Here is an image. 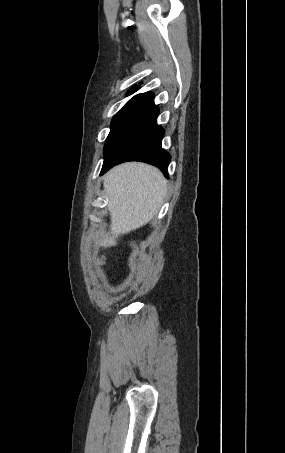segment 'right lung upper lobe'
Wrapping results in <instances>:
<instances>
[{"instance_id":"1","label":"right lung upper lobe","mask_w":285,"mask_h":453,"mask_svg":"<svg viewBox=\"0 0 285 453\" xmlns=\"http://www.w3.org/2000/svg\"><path fill=\"white\" fill-rule=\"evenodd\" d=\"M137 89H138V85L133 86V87L128 91L127 95H130V94L134 93Z\"/></svg>"}]
</instances>
